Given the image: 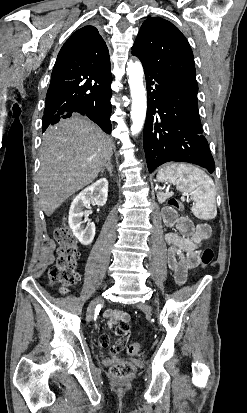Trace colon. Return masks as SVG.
<instances>
[{
	"label": "colon",
	"mask_w": 247,
	"mask_h": 413,
	"mask_svg": "<svg viewBox=\"0 0 247 413\" xmlns=\"http://www.w3.org/2000/svg\"><path fill=\"white\" fill-rule=\"evenodd\" d=\"M167 201L174 206V210L182 207L181 202L176 198H170ZM54 236L58 243L59 258L57 263L50 267L48 277L53 286L59 287L61 293H66L68 287L76 284L79 279L76 272L79 257L78 248L73 233L63 223L55 228ZM213 259V250L205 248L199 258L202 271H207ZM128 350L132 355L139 354L141 351L140 343H131ZM134 372L133 365L127 362L119 363L112 368L114 381H131Z\"/></svg>",
	"instance_id": "colon-1"
}]
</instances>
